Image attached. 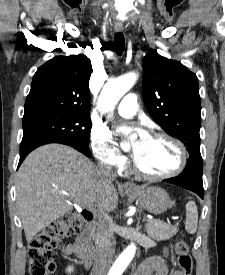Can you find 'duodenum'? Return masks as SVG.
<instances>
[{
  "instance_id": "duodenum-1",
  "label": "duodenum",
  "mask_w": 225,
  "mask_h": 275,
  "mask_svg": "<svg viewBox=\"0 0 225 275\" xmlns=\"http://www.w3.org/2000/svg\"><path fill=\"white\" fill-rule=\"evenodd\" d=\"M94 232L93 220L91 219L77 234L75 239L76 254L83 261L86 268L92 266L94 249L91 245V237Z\"/></svg>"
}]
</instances>
